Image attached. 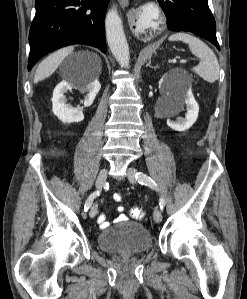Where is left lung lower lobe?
<instances>
[{"label": "left lung lower lobe", "mask_w": 247, "mask_h": 299, "mask_svg": "<svg viewBox=\"0 0 247 299\" xmlns=\"http://www.w3.org/2000/svg\"><path fill=\"white\" fill-rule=\"evenodd\" d=\"M171 31H189L205 38L218 50L216 24L207 0H158Z\"/></svg>", "instance_id": "obj_1"}]
</instances>
